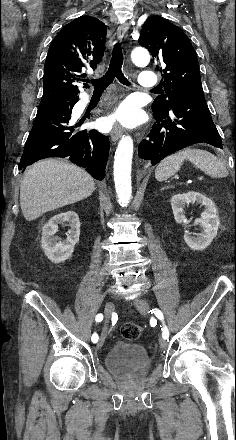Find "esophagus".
I'll return each instance as SVG.
<instances>
[{
	"instance_id": "1",
	"label": "esophagus",
	"mask_w": 236,
	"mask_h": 440,
	"mask_svg": "<svg viewBox=\"0 0 236 440\" xmlns=\"http://www.w3.org/2000/svg\"><path fill=\"white\" fill-rule=\"evenodd\" d=\"M127 31H128V24L127 23L120 25L117 29L118 39L122 40V39L126 38ZM122 132H123V129L120 125H117V124L114 125L111 130V133H110L112 141H117L121 137Z\"/></svg>"
}]
</instances>
